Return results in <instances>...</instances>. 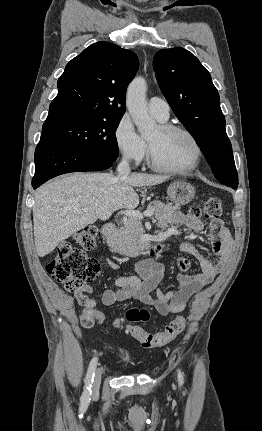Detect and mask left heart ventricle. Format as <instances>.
Wrapping results in <instances>:
<instances>
[{
  "mask_svg": "<svg viewBox=\"0 0 262 431\" xmlns=\"http://www.w3.org/2000/svg\"><path fill=\"white\" fill-rule=\"evenodd\" d=\"M156 160L172 168L189 167L194 158V146L183 133H163L157 127L148 137Z\"/></svg>",
  "mask_w": 262,
  "mask_h": 431,
  "instance_id": "1",
  "label": "left heart ventricle"
}]
</instances>
